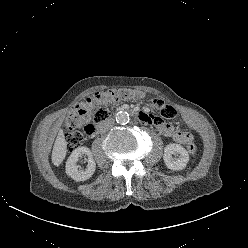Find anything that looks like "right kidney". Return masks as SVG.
<instances>
[{"label": "right kidney", "instance_id": "obj_1", "mask_svg": "<svg viewBox=\"0 0 248 248\" xmlns=\"http://www.w3.org/2000/svg\"><path fill=\"white\" fill-rule=\"evenodd\" d=\"M82 155L87 156L88 165L86 170L78 169V158ZM96 169V163L91 151L87 147H78L72 151L66 162V174L75 181H85L89 179Z\"/></svg>", "mask_w": 248, "mask_h": 248}]
</instances>
